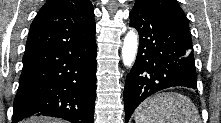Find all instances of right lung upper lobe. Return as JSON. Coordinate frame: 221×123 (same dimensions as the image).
Wrapping results in <instances>:
<instances>
[{"label": "right lung upper lobe", "mask_w": 221, "mask_h": 123, "mask_svg": "<svg viewBox=\"0 0 221 123\" xmlns=\"http://www.w3.org/2000/svg\"><path fill=\"white\" fill-rule=\"evenodd\" d=\"M93 33L89 0H48L31 24L25 51L68 45Z\"/></svg>", "instance_id": "right-lung-upper-lobe-1"}]
</instances>
